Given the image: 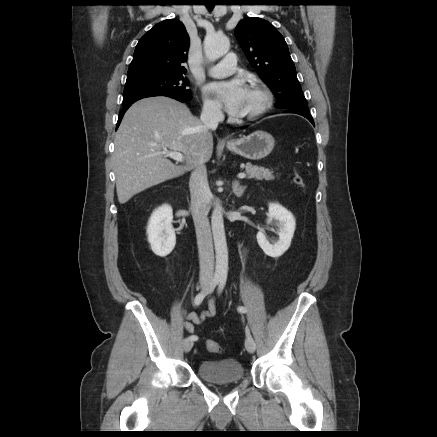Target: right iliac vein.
<instances>
[{
	"instance_id": "right-iliac-vein-1",
	"label": "right iliac vein",
	"mask_w": 437,
	"mask_h": 437,
	"mask_svg": "<svg viewBox=\"0 0 437 437\" xmlns=\"http://www.w3.org/2000/svg\"><path fill=\"white\" fill-rule=\"evenodd\" d=\"M206 287H207V284H206V283L202 284V288H203V289H205ZM193 344H194V342H193L192 339H190V338L185 339V340L183 341V349H184V351H185L186 353H188V352L192 349Z\"/></svg>"
}]
</instances>
